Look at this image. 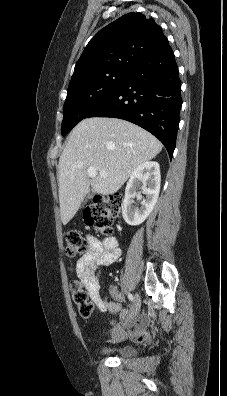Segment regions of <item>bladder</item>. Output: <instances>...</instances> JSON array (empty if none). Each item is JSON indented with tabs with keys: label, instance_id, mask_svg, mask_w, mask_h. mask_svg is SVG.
<instances>
[{
	"label": "bladder",
	"instance_id": "31cf9c89",
	"mask_svg": "<svg viewBox=\"0 0 227 396\" xmlns=\"http://www.w3.org/2000/svg\"><path fill=\"white\" fill-rule=\"evenodd\" d=\"M101 355H114L120 358H130L136 355V350L130 346L122 347H101L99 349Z\"/></svg>",
	"mask_w": 227,
	"mask_h": 396
}]
</instances>
